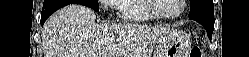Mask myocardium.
Returning a JSON list of instances; mask_svg holds the SVG:
<instances>
[{"label": "myocardium", "mask_w": 249, "mask_h": 57, "mask_svg": "<svg viewBox=\"0 0 249 57\" xmlns=\"http://www.w3.org/2000/svg\"><path fill=\"white\" fill-rule=\"evenodd\" d=\"M156 2H157V0H147L146 5H147L149 11L152 13V15L157 19H161V20L175 19V18L181 16L185 11V6H186L185 0H180V9L178 12L173 13V14L159 13L156 9V7H157Z\"/></svg>", "instance_id": "1"}]
</instances>
